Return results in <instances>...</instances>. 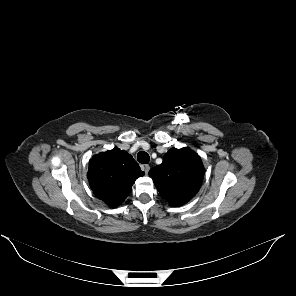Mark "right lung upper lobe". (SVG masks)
<instances>
[{"instance_id": "obj_1", "label": "right lung upper lobe", "mask_w": 296, "mask_h": 296, "mask_svg": "<svg viewBox=\"0 0 296 296\" xmlns=\"http://www.w3.org/2000/svg\"><path fill=\"white\" fill-rule=\"evenodd\" d=\"M144 174L131 155L115 147L93 156L87 178L96 197L115 208L129 195L135 180Z\"/></svg>"}]
</instances>
